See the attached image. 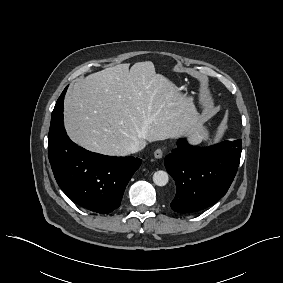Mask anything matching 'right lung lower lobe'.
Wrapping results in <instances>:
<instances>
[{
    "label": "right lung lower lobe",
    "instance_id": "right-lung-lower-lobe-1",
    "mask_svg": "<svg viewBox=\"0 0 283 283\" xmlns=\"http://www.w3.org/2000/svg\"><path fill=\"white\" fill-rule=\"evenodd\" d=\"M58 98L51 116L48 155L55 179L64 193L78 205L108 214L118 208L132 175L142 160L93 153L73 143L63 125V101Z\"/></svg>",
    "mask_w": 283,
    "mask_h": 283
}]
</instances>
